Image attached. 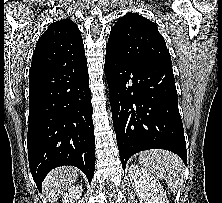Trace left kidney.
<instances>
[{
  "label": "left kidney",
  "mask_w": 222,
  "mask_h": 203,
  "mask_svg": "<svg viewBox=\"0 0 222 203\" xmlns=\"http://www.w3.org/2000/svg\"><path fill=\"white\" fill-rule=\"evenodd\" d=\"M129 177L140 203H169L163 186L148 170L132 164Z\"/></svg>",
  "instance_id": "left-kidney-1"
}]
</instances>
